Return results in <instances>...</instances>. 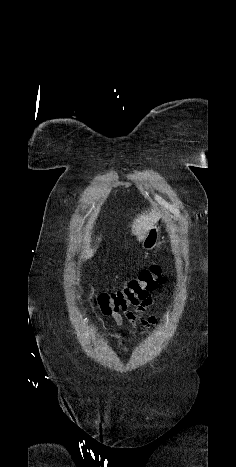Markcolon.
Here are the masks:
<instances>
[{
	"mask_svg": "<svg viewBox=\"0 0 236 467\" xmlns=\"http://www.w3.org/2000/svg\"><path fill=\"white\" fill-rule=\"evenodd\" d=\"M163 282L162 267L155 264L143 269L126 287L98 294L95 302L102 314L118 313L147 299Z\"/></svg>",
	"mask_w": 236,
	"mask_h": 467,
	"instance_id": "obj_1",
	"label": "colon"
}]
</instances>
